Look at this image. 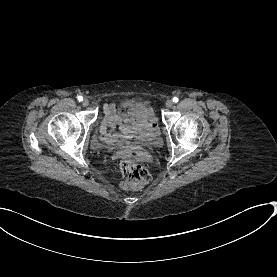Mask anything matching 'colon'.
<instances>
[{"label":"colon","instance_id":"5ec220e1","mask_svg":"<svg viewBox=\"0 0 277 277\" xmlns=\"http://www.w3.org/2000/svg\"><path fill=\"white\" fill-rule=\"evenodd\" d=\"M120 174L123 178L121 186L124 189L133 190L144 187L151 189L155 187L157 178L155 174L148 172L141 166L131 162H124L120 169Z\"/></svg>","mask_w":277,"mask_h":277}]
</instances>
